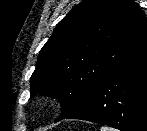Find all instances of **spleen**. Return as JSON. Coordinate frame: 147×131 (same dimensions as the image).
Returning a JSON list of instances; mask_svg holds the SVG:
<instances>
[{
  "label": "spleen",
  "mask_w": 147,
  "mask_h": 131,
  "mask_svg": "<svg viewBox=\"0 0 147 131\" xmlns=\"http://www.w3.org/2000/svg\"><path fill=\"white\" fill-rule=\"evenodd\" d=\"M100 131H116V130L107 126H103L101 127Z\"/></svg>",
  "instance_id": "spleen-1"
}]
</instances>
